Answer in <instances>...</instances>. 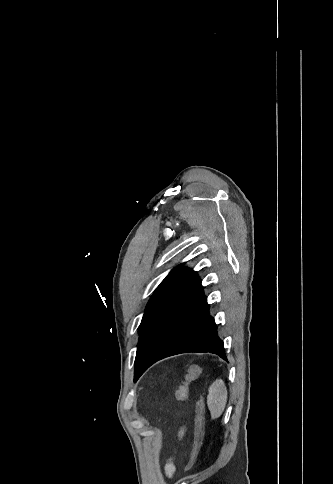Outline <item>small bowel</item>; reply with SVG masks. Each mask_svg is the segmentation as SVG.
Here are the masks:
<instances>
[{"label": "small bowel", "mask_w": 333, "mask_h": 484, "mask_svg": "<svg viewBox=\"0 0 333 484\" xmlns=\"http://www.w3.org/2000/svg\"><path fill=\"white\" fill-rule=\"evenodd\" d=\"M185 429L181 428L179 430V437L184 435ZM175 472V464L173 458H170L165 465V474L167 477H171Z\"/></svg>", "instance_id": "c3829d8e"}]
</instances>
